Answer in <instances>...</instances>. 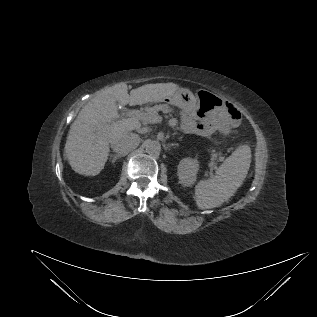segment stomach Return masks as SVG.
<instances>
[{"instance_id":"1","label":"stomach","mask_w":317,"mask_h":317,"mask_svg":"<svg viewBox=\"0 0 317 317\" xmlns=\"http://www.w3.org/2000/svg\"><path fill=\"white\" fill-rule=\"evenodd\" d=\"M162 101L176 105L183 111L196 116L214 119L220 131L228 129L224 100L213 92L199 89L196 94H193L190 90L181 88L173 96Z\"/></svg>"}]
</instances>
